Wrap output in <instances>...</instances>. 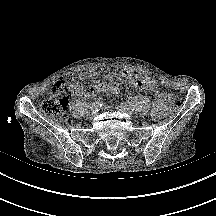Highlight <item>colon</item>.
Masks as SVG:
<instances>
[{
    "mask_svg": "<svg viewBox=\"0 0 216 216\" xmlns=\"http://www.w3.org/2000/svg\"><path fill=\"white\" fill-rule=\"evenodd\" d=\"M78 84L72 75L68 78H59L52 86L50 96L41 104L42 111L59 121L66 120L68 97ZM170 110L177 112L181 107V101L174 93H168Z\"/></svg>",
    "mask_w": 216,
    "mask_h": 216,
    "instance_id": "5ec220e1",
    "label": "colon"
}]
</instances>
